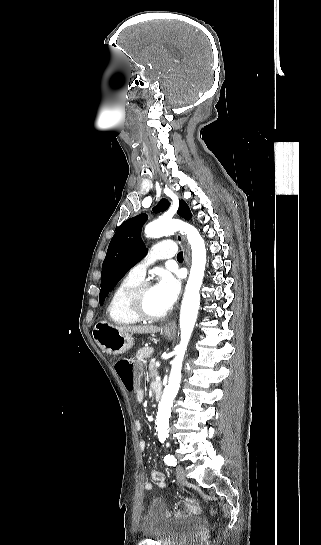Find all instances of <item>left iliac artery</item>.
<instances>
[{
  "instance_id": "44dca946",
  "label": "left iliac artery",
  "mask_w": 321,
  "mask_h": 545,
  "mask_svg": "<svg viewBox=\"0 0 321 545\" xmlns=\"http://www.w3.org/2000/svg\"><path fill=\"white\" fill-rule=\"evenodd\" d=\"M164 462L168 466L175 467L177 465V460L175 459V457L173 455H166L165 458H164Z\"/></svg>"
}]
</instances>
